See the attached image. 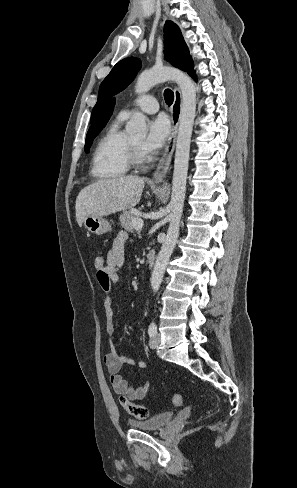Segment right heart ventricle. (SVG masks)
<instances>
[{
	"mask_svg": "<svg viewBox=\"0 0 297 488\" xmlns=\"http://www.w3.org/2000/svg\"><path fill=\"white\" fill-rule=\"evenodd\" d=\"M119 117L97 141L92 154L91 174L99 180H114L130 168V140L121 131Z\"/></svg>",
	"mask_w": 297,
	"mask_h": 488,
	"instance_id": "1",
	"label": "right heart ventricle"
}]
</instances>
